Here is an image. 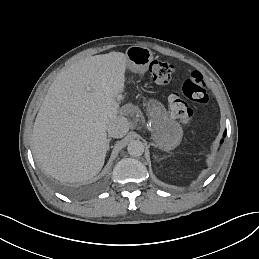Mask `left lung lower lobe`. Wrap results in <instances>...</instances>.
<instances>
[{
    "label": "left lung lower lobe",
    "instance_id": "0a47b994",
    "mask_svg": "<svg viewBox=\"0 0 259 259\" xmlns=\"http://www.w3.org/2000/svg\"><path fill=\"white\" fill-rule=\"evenodd\" d=\"M226 136V131L224 132V134H223V137H225ZM223 142V139L221 140V143Z\"/></svg>",
    "mask_w": 259,
    "mask_h": 259
}]
</instances>
